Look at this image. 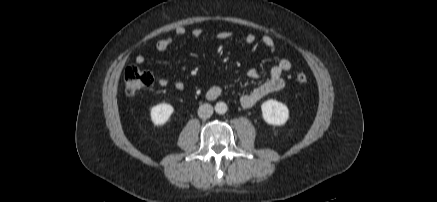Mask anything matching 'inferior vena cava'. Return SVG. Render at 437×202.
I'll use <instances>...</instances> for the list:
<instances>
[{
    "label": "inferior vena cava",
    "mask_w": 437,
    "mask_h": 202,
    "mask_svg": "<svg viewBox=\"0 0 437 202\" xmlns=\"http://www.w3.org/2000/svg\"><path fill=\"white\" fill-rule=\"evenodd\" d=\"M213 114V107L210 104H202L198 109V116L202 119H207Z\"/></svg>",
    "instance_id": "inferior-vena-cava-1"
}]
</instances>
